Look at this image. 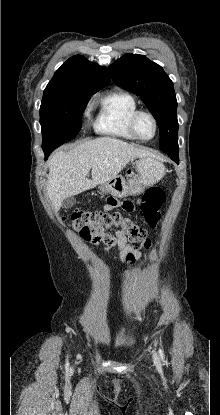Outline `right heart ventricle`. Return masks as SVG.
<instances>
[{"mask_svg":"<svg viewBox=\"0 0 220 415\" xmlns=\"http://www.w3.org/2000/svg\"><path fill=\"white\" fill-rule=\"evenodd\" d=\"M138 110L135 98L126 92H114L100 101V110L94 122L95 130L125 140H135L129 122Z\"/></svg>","mask_w":220,"mask_h":415,"instance_id":"1","label":"right heart ventricle"}]
</instances>
